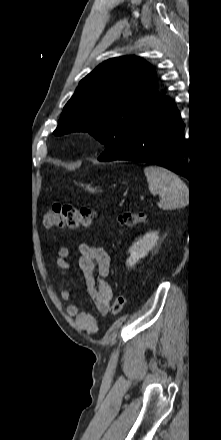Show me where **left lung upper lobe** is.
<instances>
[{"instance_id": "obj_1", "label": "left lung upper lobe", "mask_w": 221, "mask_h": 440, "mask_svg": "<svg viewBox=\"0 0 221 440\" xmlns=\"http://www.w3.org/2000/svg\"><path fill=\"white\" fill-rule=\"evenodd\" d=\"M155 76L152 66L136 56L103 62L80 81L53 134L89 132L106 147L101 161L118 159L136 123L161 96Z\"/></svg>"}]
</instances>
